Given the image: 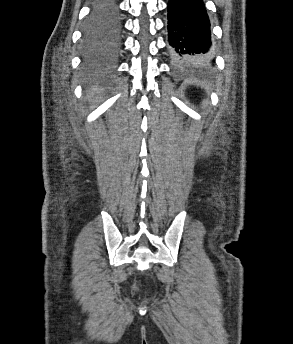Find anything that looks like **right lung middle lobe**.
Segmentation results:
<instances>
[{"mask_svg": "<svg viewBox=\"0 0 293 344\" xmlns=\"http://www.w3.org/2000/svg\"><path fill=\"white\" fill-rule=\"evenodd\" d=\"M118 27L119 16L115 0H98L84 29V47L95 51L114 45V34Z\"/></svg>", "mask_w": 293, "mask_h": 344, "instance_id": "obj_1", "label": "right lung middle lobe"}]
</instances>
